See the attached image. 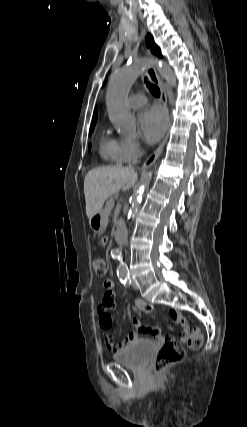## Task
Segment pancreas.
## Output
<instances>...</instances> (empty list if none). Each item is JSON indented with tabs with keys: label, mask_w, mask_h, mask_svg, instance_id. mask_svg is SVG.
<instances>
[{
	"label": "pancreas",
	"mask_w": 247,
	"mask_h": 427,
	"mask_svg": "<svg viewBox=\"0 0 247 427\" xmlns=\"http://www.w3.org/2000/svg\"><path fill=\"white\" fill-rule=\"evenodd\" d=\"M113 206H114V199H113V198H110V199L106 202V204H105V208H104L103 212H104L105 214H109V213L111 212V210H112Z\"/></svg>",
	"instance_id": "obj_1"
}]
</instances>
